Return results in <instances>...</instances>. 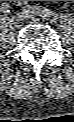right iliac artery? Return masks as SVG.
I'll return each mask as SVG.
<instances>
[{"label":"right iliac artery","instance_id":"1","mask_svg":"<svg viewBox=\"0 0 74 122\" xmlns=\"http://www.w3.org/2000/svg\"><path fill=\"white\" fill-rule=\"evenodd\" d=\"M1 11L8 13L10 12V6L8 5V3H3L1 6Z\"/></svg>","mask_w":74,"mask_h":122}]
</instances>
